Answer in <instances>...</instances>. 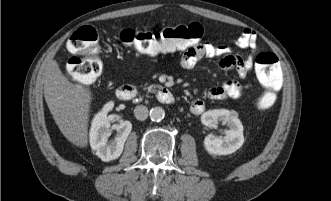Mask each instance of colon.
<instances>
[{
  "label": "colon",
  "instance_id": "obj_1",
  "mask_svg": "<svg viewBox=\"0 0 331 201\" xmlns=\"http://www.w3.org/2000/svg\"><path fill=\"white\" fill-rule=\"evenodd\" d=\"M204 28L197 22L159 31H137L124 29L119 34L121 43L145 55L185 50L199 45ZM68 49L79 56L71 57L67 62L68 76L79 84L94 82L102 73L103 63L99 57L98 34L91 26L78 28L68 41ZM258 80L264 88L254 104L259 110L274 106L283 81V67L276 54L263 51L255 57Z\"/></svg>",
  "mask_w": 331,
  "mask_h": 201
}]
</instances>
